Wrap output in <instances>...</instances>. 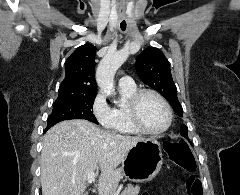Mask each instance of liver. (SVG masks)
Listing matches in <instances>:
<instances>
[{
	"instance_id": "obj_1",
	"label": "liver",
	"mask_w": 240,
	"mask_h": 195,
	"mask_svg": "<svg viewBox=\"0 0 240 195\" xmlns=\"http://www.w3.org/2000/svg\"><path fill=\"white\" fill-rule=\"evenodd\" d=\"M141 139L101 129L87 119L56 123L42 143V195H83L92 175H99L95 185L100 195H111L122 177L119 163ZM98 167L100 173H95Z\"/></svg>"
}]
</instances>
